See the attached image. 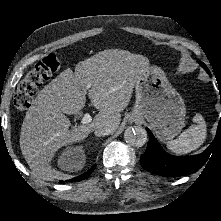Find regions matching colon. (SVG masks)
<instances>
[{"label": "colon", "mask_w": 221, "mask_h": 221, "mask_svg": "<svg viewBox=\"0 0 221 221\" xmlns=\"http://www.w3.org/2000/svg\"><path fill=\"white\" fill-rule=\"evenodd\" d=\"M61 67V61L55 54H50L38 62L19 83L13 98L14 107L18 111L28 109L38 88L49 80Z\"/></svg>", "instance_id": "5ec220e1"}]
</instances>
